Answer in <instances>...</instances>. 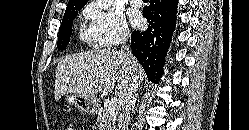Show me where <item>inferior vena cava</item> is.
<instances>
[{
  "mask_svg": "<svg viewBox=\"0 0 249 130\" xmlns=\"http://www.w3.org/2000/svg\"><path fill=\"white\" fill-rule=\"evenodd\" d=\"M128 40V34H124L122 37V47L121 53L123 54L124 60L128 65H133V56L131 54L129 46L126 45ZM131 70V78L129 83V88L125 94V97L122 101V112L118 119V130H126L129 119H130V111L136 100L137 90L140 86L138 78L136 74Z\"/></svg>",
  "mask_w": 249,
  "mask_h": 130,
  "instance_id": "inferior-vena-cava-1",
  "label": "inferior vena cava"
}]
</instances>
